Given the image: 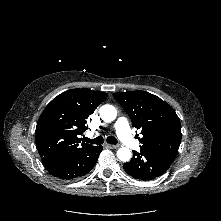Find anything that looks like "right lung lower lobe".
Returning a JSON list of instances; mask_svg holds the SVG:
<instances>
[{"mask_svg":"<svg viewBox=\"0 0 221 221\" xmlns=\"http://www.w3.org/2000/svg\"><path fill=\"white\" fill-rule=\"evenodd\" d=\"M102 146H87L58 156L44 165L54 177L73 180L86 175L96 164Z\"/></svg>","mask_w":221,"mask_h":221,"instance_id":"98d812e1","label":"right lung lower lobe"}]
</instances>
